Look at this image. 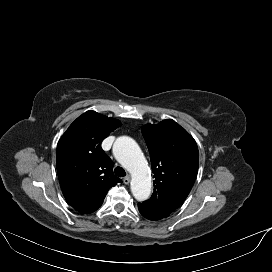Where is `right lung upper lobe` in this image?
<instances>
[{"instance_id": "1", "label": "right lung upper lobe", "mask_w": 272, "mask_h": 272, "mask_svg": "<svg viewBox=\"0 0 272 272\" xmlns=\"http://www.w3.org/2000/svg\"><path fill=\"white\" fill-rule=\"evenodd\" d=\"M120 121L95 111L78 117L57 145L56 166L63 195L80 213L101 206L107 191L122 180L113 173V163L101 148L102 141Z\"/></svg>"}]
</instances>
